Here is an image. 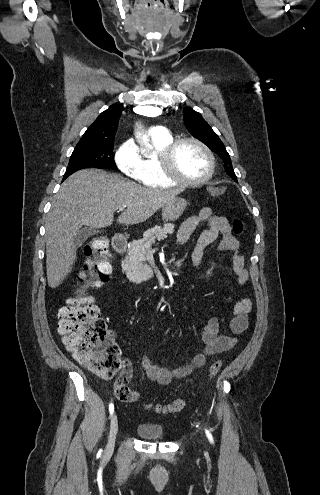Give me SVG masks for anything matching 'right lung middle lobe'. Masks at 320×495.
Here are the masks:
<instances>
[{
    "label": "right lung middle lobe",
    "instance_id": "obj_1",
    "mask_svg": "<svg viewBox=\"0 0 320 495\" xmlns=\"http://www.w3.org/2000/svg\"><path fill=\"white\" fill-rule=\"evenodd\" d=\"M116 169L113 159V144L77 145L71 155L64 178L84 168Z\"/></svg>",
    "mask_w": 320,
    "mask_h": 495
}]
</instances>
